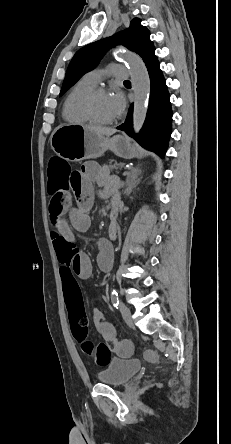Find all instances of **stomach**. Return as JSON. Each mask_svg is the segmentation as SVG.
I'll return each mask as SVG.
<instances>
[{"label": "stomach", "instance_id": "1", "mask_svg": "<svg viewBox=\"0 0 231 444\" xmlns=\"http://www.w3.org/2000/svg\"><path fill=\"white\" fill-rule=\"evenodd\" d=\"M50 144L58 156L73 161L97 158L107 150L122 158L139 154V149L126 136L107 138L76 124L58 126L51 135Z\"/></svg>", "mask_w": 231, "mask_h": 444}]
</instances>
